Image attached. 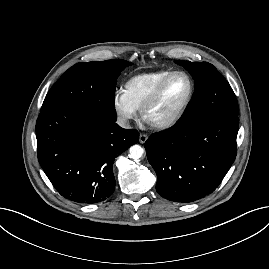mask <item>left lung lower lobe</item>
Masks as SVG:
<instances>
[{"label": "left lung lower lobe", "mask_w": 269, "mask_h": 269, "mask_svg": "<svg viewBox=\"0 0 269 269\" xmlns=\"http://www.w3.org/2000/svg\"><path fill=\"white\" fill-rule=\"evenodd\" d=\"M238 125L237 114L218 113L152 134L145 149L158 194L188 203L212 193L235 160Z\"/></svg>", "instance_id": "1"}]
</instances>
